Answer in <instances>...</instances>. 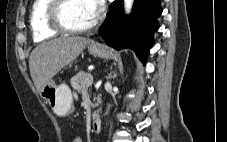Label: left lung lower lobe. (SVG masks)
I'll list each match as a JSON object with an SVG mask.
<instances>
[{"label": "left lung lower lobe", "instance_id": "left-lung-lower-lobe-1", "mask_svg": "<svg viewBox=\"0 0 227 142\" xmlns=\"http://www.w3.org/2000/svg\"><path fill=\"white\" fill-rule=\"evenodd\" d=\"M122 0H115L109 7L100 34L106 43L117 49L130 48L145 63L152 47L153 33L159 29L158 17L163 9L160 0H135L133 12L124 14Z\"/></svg>", "mask_w": 227, "mask_h": 142}]
</instances>
